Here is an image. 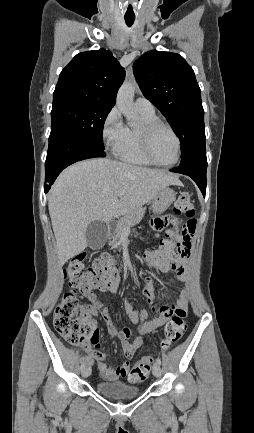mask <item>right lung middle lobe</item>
<instances>
[{
	"label": "right lung middle lobe",
	"instance_id": "right-lung-middle-lobe-1",
	"mask_svg": "<svg viewBox=\"0 0 254 433\" xmlns=\"http://www.w3.org/2000/svg\"><path fill=\"white\" fill-rule=\"evenodd\" d=\"M111 109L112 107L103 104L84 101L53 105L49 139L60 133H68L104 150L103 126Z\"/></svg>",
	"mask_w": 254,
	"mask_h": 433
}]
</instances>
